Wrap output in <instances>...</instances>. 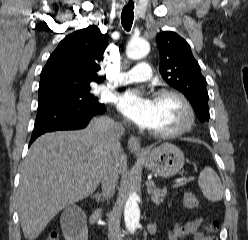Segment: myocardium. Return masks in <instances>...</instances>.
I'll return each mask as SVG.
<instances>
[{
    "label": "myocardium",
    "instance_id": "f54148a6",
    "mask_svg": "<svg viewBox=\"0 0 248 240\" xmlns=\"http://www.w3.org/2000/svg\"><path fill=\"white\" fill-rule=\"evenodd\" d=\"M165 96H172L176 98L183 106L185 112V118L183 122L176 128L170 130H150V132L162 138H171L180 136L191 129L195 122V111L194 108L189 101V99L180 91L173 89V88H163L157 91L156 97H165Z\"/></svg>",
    "mask_w": 248,
    "mask_h": 240
}]
</instances>
